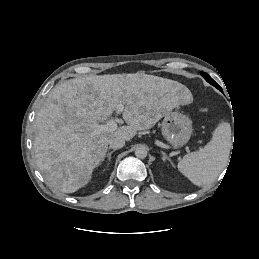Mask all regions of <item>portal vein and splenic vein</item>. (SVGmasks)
Wrapping results in <instances>:
<instances>
[{"label": "portal vein and splenic vein", "mask_w": 259, "mask_h": 259, "mask_svg": "<svg viewBox=\"0 0 259 259\" xmlns=\"http://www.w3.org/2000/svg\"><path fill=\"white\" fill-rule=\"evenodd\" d=\"M124 110V105L123 104H118L117 105V109H116V116L115 118L111 119L110 121H108L106 124L104 125H95L94 129H93V133L98 134L101 132H113L115 130H117V122H118V118L117 116L119 114H121Z\"/></svg>", "instance_id": "18ae733b"}]
</instances>
